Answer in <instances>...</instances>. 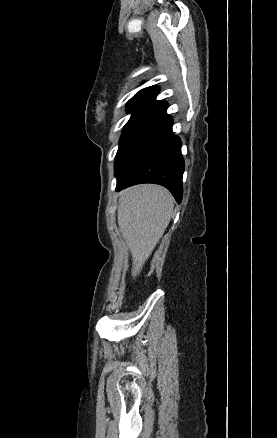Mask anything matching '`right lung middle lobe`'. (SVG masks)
Wrapping results in <instances>:
<instances>
[{
  "mask_svg": "<svg viewBox=\"0 0 277 438\" xmlns=\"http://www.w3.org/2000/svg\"><path fill=\"white\" fill-rule=\"evenodd\" d=\"M166 111L132 116L123 129L115 158V176L120 180L167 118Z\"/></svg>",
  "mask_w": 277,
  "mask_h": 438,
  "instance_id": "dd1d6c3e",
  "label": "right lung middle lobe"
}]
</instances>
